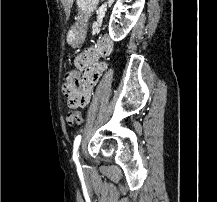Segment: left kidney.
I'll return each instance as SVG.
<instances>
[{
    "instance_id": "left-kidney-1",
    "label": "left kidney",
    "mask_w": 217,
    "mask_h": 202,
    "mask_svg": "<svg viewBox=\"0 0 217 202\" xmlns=\"http://www.w3.org/2000/svg\"><path fill=\"white\" fill-rule=\"evenodd\" d=\"M145 0H135L134 4L130 6V12H126V16L124 18V22H122V28H117L114 26V18L115 16H120L123 10H126L128 6H122L121 0H118L117 4H115L113 8V12L111 14L110 22H109V36L111 40L114 42H121L126 38L127 34H129L130 30L134 28L143 8H144Z\"/></svg>"
}]
</instances>
